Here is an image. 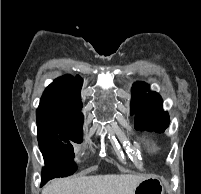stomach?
<instances>
[{
  "instance_id": "obj_1",
  "label": "stomach",
  "mask_w": 201,
  "mask_h": 194,
  "mask_svg": "<svg viewBox=\"0 0 201 194\" xmlns=\"http://www.w3.org/2000/svg\"><path fill=\"white\" fill-rule=\"evenodd\" d=\"M163 183L157 176H145L135 187L133 194H163Z\"/></svg>"
}]
</instances>
